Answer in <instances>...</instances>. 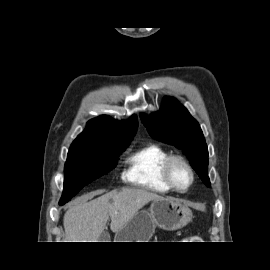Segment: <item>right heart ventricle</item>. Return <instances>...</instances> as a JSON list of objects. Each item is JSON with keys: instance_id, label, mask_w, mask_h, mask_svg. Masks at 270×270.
Here are the masks:
<instances>
[{"instance_id": "1", "label": "right heart ventricle", "mask_w": 270, "mask_h": 270, "mask_svg": "<svg viewBox=\"0 0 270 270\" xmlns=\"http://www.w3.org/2000/svg\"><path fill=\"white\" fill-rule=\"evenodd\" d=\"M170 153L162 146L149 143L139 147L126 158L123 179L130 185L165 194L172 189L163 176V165Z\"/></svg>"}]
</instances>
